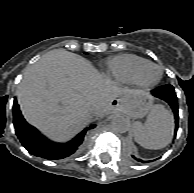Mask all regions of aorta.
Segmentation results:
<instances>
[{
    "label": "aorta",
    "instance_id": "762f6f07",
    "mask_svg": "<svg viewBox=\"0 0 194 193\" xmlns=\"http://www.w3.org/2000/svg\"><path fill=\"white\" fill-rule=\"evenodd\" d=\"M111 129L115 133H126L129 129V122L124 117H115L111 121Z\"/></svg>",
    "mask_w": 194,
    "mask_h": 193
}]
</instances>
